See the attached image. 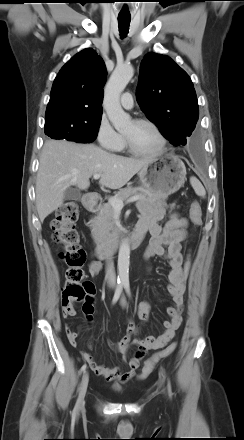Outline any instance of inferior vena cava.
Instances as JSON below:
<instances>
[{
    "instance_id": "1",
    "label": "inferior vena cava",
    "mask_w": 244,
    "mask_h": 440,
    "mask_svg": "<svg viewBox=\"0 0 244 440\" xmlns=\"http://www.w3.org/2000/svg\"><path fill=\"white\" fill-rule=\"evenodd\" d=\"M106 261H107V267H106L107 284L109 285V287L114 288L116 286V275L112 263L111 254H107Z\"/></svg>"
}]
</instances>
